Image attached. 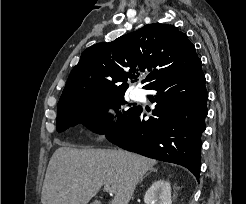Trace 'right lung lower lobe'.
Segmentation results:
<instances>
[{"label":"right lung lower lobe","mask_w":246,"mask_h":204,"mask_svg":"<svg viewBox=\"0 0 246 204\" xmlns=\"http://www.w3.org/2000/svg\"><path fill=\"white\" fill-rule=\"evenodd\" d=\"M147 89L157 91L149 96L157 103L155 117L142 119L143 110L137 106L106 138L125 150L182 165L199 180L201 134L208 113L201 60L165 75Z\"/></svg>","instance_id":"98d812e1"}]
</instances>
